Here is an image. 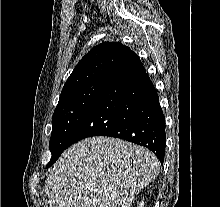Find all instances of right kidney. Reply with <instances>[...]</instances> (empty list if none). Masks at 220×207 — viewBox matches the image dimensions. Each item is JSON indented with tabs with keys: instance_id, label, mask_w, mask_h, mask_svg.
<instances>
[{
	"instance_id": "ca27d5eb",
	"label": "right kidney",
	"mask_w": 220,
	"mask_h": 207,
	"mask_svg": "<svg viewBox=\"0 0 220 207\" xmlns=\"http://www.w3.org/2000/svg\"><path fill=\"white\" fill-rule=\"evenodd\" d=\"M144 206V202L141 201L140 203H138V207H143Z\"/></svg>"
}]
</instances>
